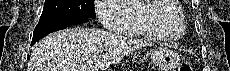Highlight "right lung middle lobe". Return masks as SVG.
Wrapping results in <instances>:
<instances>
[{
	"label": "right lung middle lobe",
	"mask_w": 230,
	"mask_h": 71,
	"mask_svg": "<svg viewBox=\"0 0 230 71\" xmlns=\"http://www.w3.org/2000/svg\"><path fill=\"white\" fill-rule=\"evenodd\" d=\"M82 17L95 18L94 0H45L39 22Z\"/></svg>",
	"instance_id": "right-lung-middle-lobe-1"
}]
</instances>
